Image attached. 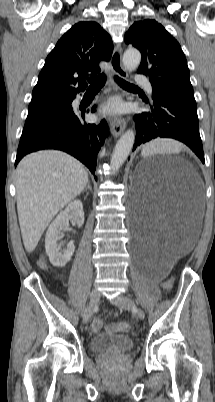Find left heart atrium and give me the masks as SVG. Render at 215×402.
Wrapping results in <instances>:
<instances>
[{"label":"left heart atrium","mask_w":215,"mask_h":402,"mask_svg":"<svg viewBox=\"0 0 215 402\" xmlns=\"http://www.w3.org/2000/svg\"><path fill=\"white\" fill-rule=\"evenodd\" d=\"M103 113L106 114H115L119 111V106L117 103L115 102H111L109 104H107L104 108H103Z\"/></svg>","instance_id":"39dd6f15"}]
</instances>
